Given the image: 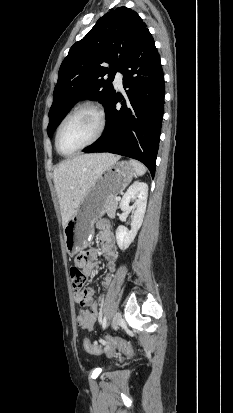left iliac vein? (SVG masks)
Listing matches in <instances>:
<instances>
[{
  "mask_svg": "<svg viewBox=\"0 0 233 413\" xmlns=\"http://www.w3.org/2000/svg\"><path fill=\"white\" fill-rule=\"evenodd\" d=\"M121 320H122V315H121V313L118 311V312L115 313V315H114V317H113V319H112V323H111L112 329H114V330L117 329L118 326H119V324H120V322H121Z\"/></svg>",
  "mask_w": 233,
  "mask_h": 413,
  "instance_id": "left-iliac-vein-1",
  "label": "left iliac vein"
}]
</instances>
